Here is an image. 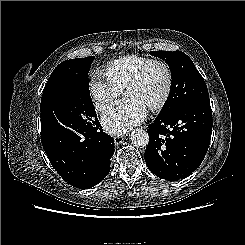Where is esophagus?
I'll use <instances>...</instances> for the list:
<instances>
[{
  "label": "esophagus",
  "mask_w": 245,
  "mask_h": 245,
  "mask_svg": "<svg viewBox=\"0 0 245 245\" xmlns=\"http://www.w3.org/2000/svg\"><path fill=\"white\" fill-rule=\"evenodd\" d=\"M124 140V136L123 135H117L114 137V142L116 145L120 144L122 141Z\"/></svg>",
  "instance_id": "1"
}]
</instances>
